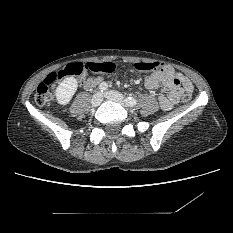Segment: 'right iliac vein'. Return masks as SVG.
I'll return each instance as SVG.
<instances>
[{
  "label": "right iliac vein",
  "instance_id": "63e3f726",
  "mask_svg": "<svg viewBox=\"0 0 233 233\" xmlns=\"http://www.w3.org/2000/svg\"><path fill=\"white\" fill-rule=\"evenodd\" d=\"M102 100H103L102 94L100 92H97L93 95V97L91 99V105L93 107H97L101 104Z\"/></svg>",
  "mask_w": 233,
  "mask_h": 233
}]
</instances>
